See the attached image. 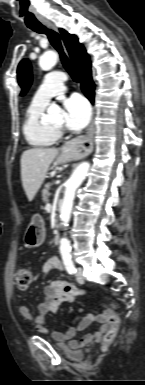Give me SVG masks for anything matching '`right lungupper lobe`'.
Returning <instances> with one entry per match:
<instances>
[{
	"mask_svg": "<svg viewBox=\"0 0 145 385\" xmlns=\"http://www.w3.org/2000/svg\"><path fill=\"white\" fill-rule=\"evenodd\" d=\"M60 33L76 70L79 72L85 66H89V55L86 53L83 45L78 42V38L63 29H60Z\"/></svg>",
	"mask_w": 145,
	"mask_h": 385,
	"instance_id": "obj_1",
	"label": "right lung upper lobe"
}]
</instances>
